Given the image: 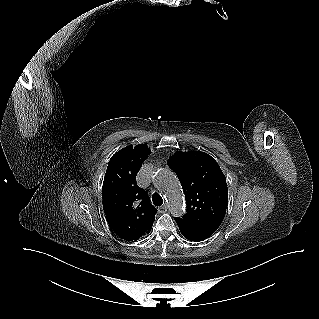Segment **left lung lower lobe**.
<instances>
[{
    "instance_id": "left-lung-lower-lobe-1",
    "label": "left lung lower lobe",
    "mask_w": 319,
    "mask_h": 319,
    "mask_svg": "<svg viewBox=\"0 0 319 319\" xmlns=\"http://www.w3.org/2000/svg\"><path fill=\"white\" fill-rule=\"evenodd\" d=\"M178 227L182 233V235L191 241H203L210 237L216 229L205 227V226H199L192 224L190 222H187L181 218H175Z\"/></svg>"
}]
</instances>
